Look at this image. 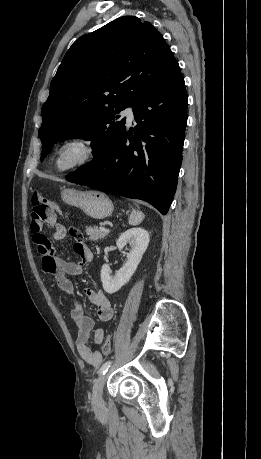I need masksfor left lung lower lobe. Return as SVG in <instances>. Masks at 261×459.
Here are the masks:
<instances>
[{"mask_svg":"<svg viewBox=\"0 0 261 459\" xmlns=\"http://www.w3.org/2000/svg\"><path fill=\"white\" fill-rule=\"evenodd\" d=\"M187 104L184 78L176 61L133 106L136 129H125L101 162L78 169L66 180L147 201L165 215L182 163ZM128 140L130 144H126Z\"/></svg>","mask_w":261,"mask_h":459,"instance_id":"obj_1","label":"left lung lower lobe"}]
</instances>
